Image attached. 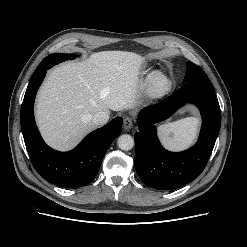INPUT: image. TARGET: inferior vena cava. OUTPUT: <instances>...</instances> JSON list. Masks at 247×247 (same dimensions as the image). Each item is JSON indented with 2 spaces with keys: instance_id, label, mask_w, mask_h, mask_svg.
<instances>
[{
  "instance_id": "inferior-vena-cava-1",
  "label": "inferior vena cava",
  "mask_w": 247,
  "mask_h": 247,
  "mask_svg": "<svg viewBox=\"0 0 247 247\" xmlns=\"http://www.w3.org/2000/svg\"><path fill=\"white\" fill-rule=\"evenodd\" d=\"M109 120V114L104 111H100L92 115V122L95 125L102 126L105 125Z\"/></svg>"
}]
</instances>
